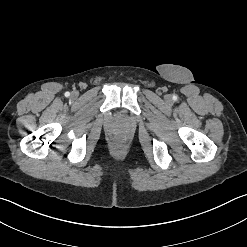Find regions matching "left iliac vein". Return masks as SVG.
Instances as JSON below:
<instances>
[{
    "instance_id": "left-iliac-vein-1",
    "label": "left iliac vein",
    "mask_w": 247,
    "mask_h": 247,
    "mask_svg": "<svg viewBox=\"0 0 247 247\" xmlns=\"http://www.w3.org/2000/svg\"><path fill=\"white\" fill-rule=\"evenodd\" d=\"M166 99H167V100H170V96H167Z\"/></svg>"
}]
</instances>
